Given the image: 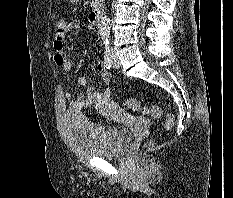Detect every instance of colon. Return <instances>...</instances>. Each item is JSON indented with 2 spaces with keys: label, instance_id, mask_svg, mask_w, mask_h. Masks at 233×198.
<instances>
[{
  "label": "colon",
  "instance_id": "1",
  "mask_svg": "<svg viewBox=\"0 0 233 198\" xmlns=\"http://www.w3.org/2000/svg\"><path fill=\"white\" fill-rule=\"evenodd\" d=\"M63 26H64V20L62 19L57 20L55 25V33L57 34L62 33ZM125 104L131 110H138L140 108L139 101L133 98L127 99ZM142 110L146 115L154 119H158L162 116V108L157 104L151 105L149 107H144L142 108ZM173 124H174V116L172 113L167 112L165 114V122H164L165 129L167 130L171 129Z\"/></svg>",
  "mask_w": 233,
  "mask_h": 198
}]
</instances>
